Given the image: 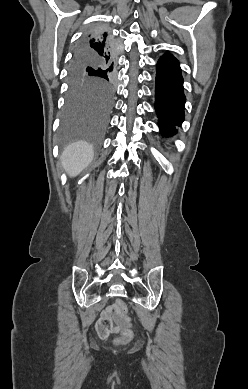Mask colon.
Here are the masks:
<instances>
[{"label": "colon", "instance_id": "1", "mask_svg": "<svg viewBox=\"0 0 248 389\" xmlns=\"http://www.w3.org/2000/svg\"><path fill=\"white\" fill-rule=\"evenodd\" d=\"M119 316V324L109 318H104L101 322H97L96 327L100 329L102 334H106L110 330L119 329L121 337L117 343H125L133 338V333L125 325L128 319V308L123 300H117L114 305Z\"/></svg>", "mask_w": 248, "mask_h": 389}]
</instances>
